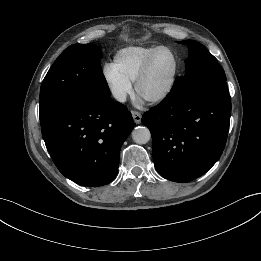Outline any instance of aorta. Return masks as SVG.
Instances as JSON below:
<instances>
[{"label":"aorta","mask_w":261,"mask_h":261,"mask_svg":"<svg viewBox=\"0 0 261 261\" xmlns=\"http://www.w3.org/2000/svg\"><path fill=\"white\" fill-rule=\"evenodd\" d=\"M132 138L137 144H146L151 138V133L147 127L138 126L132 131Z\"/></svg>","instance_id":"762f6f07"}]
</instances>
